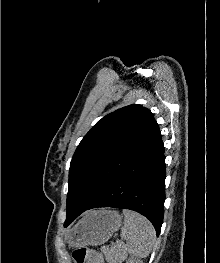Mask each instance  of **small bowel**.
I'll return each instance as SVG.
<instances>
[{
    "label": "small bowel",
    "instance_id": "obj_1",
    "mask_svg": "<svg viewBox=\"0 0 220 263\" xmlns=\"http://www.w3.org/2000/svg\"><path fill=\"white\" fill-rule=\"evenodd\" d=\"M88 263H94V261H89Z\"/></svg>",
    "mask_w": 220,
    "mask_h": 263
}]
</instances>
